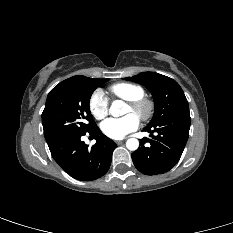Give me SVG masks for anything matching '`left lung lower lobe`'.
<instances>
[{
	"mask_svg": "<svg viewBox=\"0 0 233 233\" xmlns=\"http://www.w3.org/2000/svg\"><path fill=\"white\" fill-rule=\"evenodd\" d=\"M190 114L183 112L146 127L151 139H141L140 147L132 153L135 167L146 175L168 172L179 161L189 137ZM155 133V135H153Z\"/></svg>",
	"mask_w": 233,
	"mask_h": 233,
	"instance_id": "obj_1",
	"label": "left lung lower lobe"
}]
</instances>
